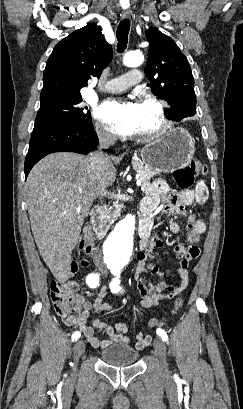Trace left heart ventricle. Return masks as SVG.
<instances>
[{"instance_id": "obj_1", "label": "left heart ventricle", "mask_w": 243, "mask_h": 409, "mask_svg": "<svg viewBox=\"0 0 243 409\" xmlns=\"http://www.w3.org/2000/svg\"><path fill=\"white\" fill-rule=\"evenodd\" d=\"M138 106V125L136 133L149 131L158 126V117L153 105L145 102H139Z\"/></svg>"}]
</instances>
